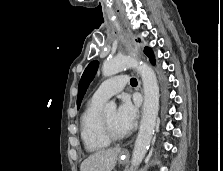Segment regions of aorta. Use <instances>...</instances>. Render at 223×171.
I'll return each instance as SVG.
<instances>
[{
    "mask_svg": "<svg viewBox=\"0 0 223 171\" xmlns=\"http://www.w3.org/2000/svg\"><path fill=\"white\" fill-rule=\"evenodd\" d=\"M127 68H135L141 76L144 89L143 114L139 127L138 136L132 153L131 167L134 171L145 157L150 145L159 111V86L153 69L146 63L130 56L115 57L103 63L102 74L105 77L113 76ZM105 110L115 111V102H109Z\"/></svg>",
    "mask_w": 223,
    "mask_h": 171,
    "instance_id": "1",
    "label": "aorta"
}]
</instances>
